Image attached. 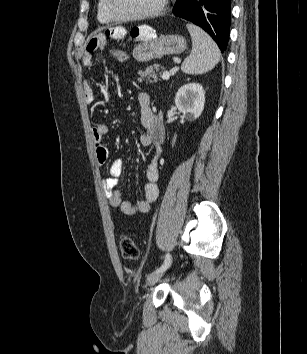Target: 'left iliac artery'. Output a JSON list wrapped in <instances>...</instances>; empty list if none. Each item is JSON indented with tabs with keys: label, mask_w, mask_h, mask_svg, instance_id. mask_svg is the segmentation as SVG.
Listing matches in <instances>:
<instances>
[{
	"label": "left iliac artery",
	"mask_w": 307,
	"mask_h": 354,
	"mask_svg": "<svg viewBox=\"0 0 307 354\" xmlns=\"http://www.w3.org/2000/svg\"><path fill=\"white\" fill-rule=\"evenodd\" d=\"M171 262H172L171 255L169 253H167L165 255V259H164L163 264L158 269H156V271L157 272L165 271L171 265Z\"/></svg>",
	"instance_id": "left-iliac-artery-1"
}]
</instances>
